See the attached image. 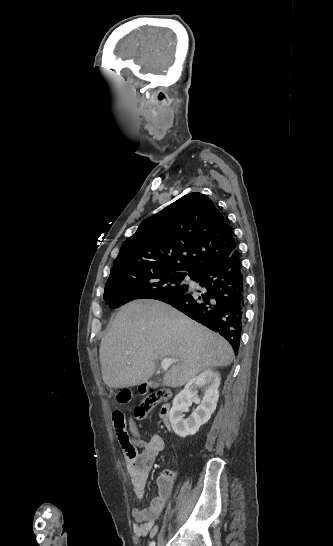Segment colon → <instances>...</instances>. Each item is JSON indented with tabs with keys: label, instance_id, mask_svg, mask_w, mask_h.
<instances>
[{
	"label": "colon",
	"instance_id": "colon-1",
	"mask_svg": "<svg viewBox=\"0 0 333 546\" xmlns=\"http://www.w3.org/2000/svg\"><path fill=\"white\" fill-rule=\"evenodd\" d=\"M170 393L166 390H158L148 396L142 403H140L134 411L135 418L143 420L146 418L149 410L158 402L167 399ZM130 399L129 393H121L119 395V401L122 403L128 402ZM112 422L114 430L118 439V442L123 449L125 455L129 458L135 457L137 448L131 440V436L127 430L126 420L124 414L115 410L112 413Z\"/></svg>",
	"mask_w": 333,
	"mask_h": 546
}]
</instances>
